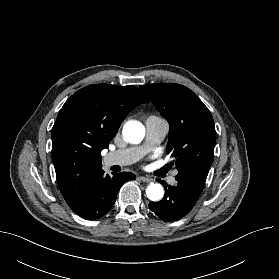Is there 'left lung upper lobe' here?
I'll return each instance as SVG.
<instances>
[{"label": "left lung upper lobe", "instance_id": "left-lung-upper-lobe-1", "mask_svg": "<svg viewBox=\"0 0 279 279\" xmlns=\"http://www.w3.org/2000/svg\"><path fill=\"white\" fill-rule=\"evenodd\" d=\"M140 88L169 122L167 153L175 158L176 180L203 190L216 142L210 111L193 91L179 84Z\"/></svg>", "mask_w": 279, "mask_h": 279}]
</instances>
